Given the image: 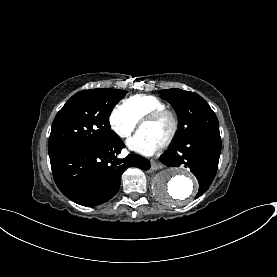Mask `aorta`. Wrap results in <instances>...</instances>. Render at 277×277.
Masks as SVG:
<instances>
[{
    "mask_svg": "<svg viewBox=\"0 0 277 277\" xmlns=\"http://www.w3.org/2000/svg\"><path fill=\"white\" fill-rule=\"evenodd\" d=\"M153 192L164 203L173 205L192 200L198 190L195 177L183 169H164L153 179Z\"/></svg>",
    "mask_w": 277,
    "mask_h": 277,
    "instance_id": "aorta-1",
    "label": "aorta"
}]
</instances>
